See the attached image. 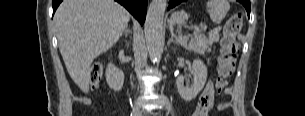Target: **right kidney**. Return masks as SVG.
Listing matches in <instances>:
<instances>
[{
  "label": "right kidney",
  "mask_w": 305,
  "mask_h": 116,
  "mask_svg": "<svg viewBox=\"0 0 305 116\" xmlns=\"http://www.w3.org/2000/svg\"><path fill=\"white\" fill-rule=\"evenodd\" d=\"M106 81L111 89L120 91L124 83V73L122 70L109 63L106 69Z\"/></svg>",
  "instance_id": "obj_1"
}]
</instances>
